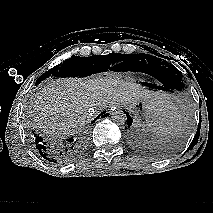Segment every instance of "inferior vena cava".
Wrapping results in <instances>:
<instances>
[{"instance_id":"1","label":"inferior vena cava","mask_w":213,"mask_h":213,"mask_svg":"<svg viewBox=\"0 0 213 213\" xmlns=\"http://www.w3.org/2000/svg\"><path fill=\"white\" fill-rule=\"evenodd\" d=\"M94 114V109L93 108H90L89 109V117H92Z\"/></svg>"}]
</instances>
